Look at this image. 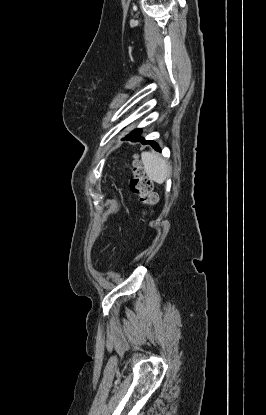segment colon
I'll list each match as a JSON object with an SVG mask.
<instances>
[{
    "label": "colon",
    "instance_id": "1",
    "mask_svg": "<svg viewBox=\"0 0 266 415\" xmlns=\"http://www.w3.org/2000/svg\"><path fill=\"white\" fill-rule=\"evenodd\" d=\"M130 187L145 206L152 207L157 203L158 197L154 192L153 183L145 176L141 164L136 159L131 166Z\"/></svg>",
    "mask_w": 266,
    "mask_h": 415
}]
</instances>
